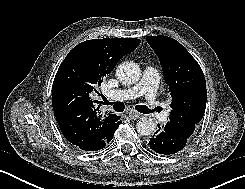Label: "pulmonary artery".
I'll return each mask as SVG.
<instances>
[{"mask_svg":"<svg viewBox=\"0 0 245 189\" xmlns=\"http://www.w3.org/2000/svg\"><path fill=\"white\" fill-rule=\"evenodd\" d=\"M159 83V73L152 67L147 66L142 73L140 81L130 87L111 91L108 96L114 101H126L144 95L146 104L153 106L156 103V90Z\"/></svg>","mask_w":245,"mask_h":189,"instance_id":"pulmonary-artery-1","label":"pulmonary artery"}]
</instances>
